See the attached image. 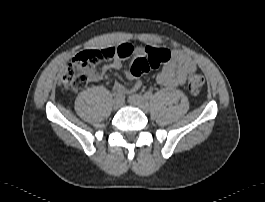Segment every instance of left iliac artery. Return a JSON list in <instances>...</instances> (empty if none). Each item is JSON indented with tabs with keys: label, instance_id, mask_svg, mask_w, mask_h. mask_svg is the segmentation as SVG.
Listing matches in <instances>:
<instances>
[{
	"label": "left iliac artery",
	"instance_id": "left-iliac-artery-1",
	"mask_svg": "<svg viewBox=\"0 0 265 202\" xmlns=\"http://www.w3.org/2000/svg\"><path fill=\"white\" fill-rule=\"evenodd\" d=\"M144 97H145L146 99H152L153 94H152L151 92H145V93H144Z\"/></svg>",
	"mask_w": 265,
	"mask_h": 202
}]
</instances>
